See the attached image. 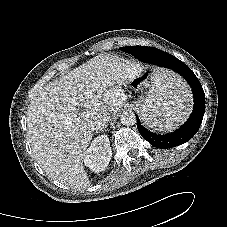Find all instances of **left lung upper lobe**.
I'll return each mask as SVG.
<instances>
[{"label":"left lung upper lobe","mask_w":227,"mask_h":227,"mask_svg":"<svg viewBox=\"0 0 227 227\" xmlns=\"http://www.w3.org/2000/svg\"><path fill=\"white\" fill-rule=\"evenodd\" d=\"M130 47H132V46H126V47H122V48H120L122 51H124V52H126V53H128V51L127 50H129L130 49Z\"/></svg>","instance_id":"1"}]
</instances>
